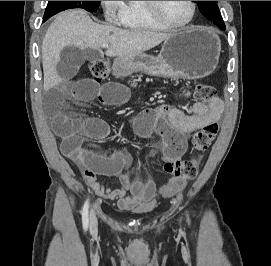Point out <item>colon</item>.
I'll list each match as a JSON object with an SVG mask.
<instances>
[{
	"label": "colon",
	"instance_id": "1",
	"mask_svg": "<svg viewBox=\"0 0 271 266\" xmlns=\"http://www.w3.org/2000/svg\"><path fill=\"white\" fill-rule=\"evenodd\" d=\"M109 61L97 59L90 63L89 70L96 82L104 80L109 74ZM194 99L200 103H208L215 97V89L207 83H199L193 91ZM219 131L218 122H210L197 130L192 138V149L195 155L205 152L215 140ZM164 170L174 179L187 181L193 179L198 171L196 156L180 160L175 159L164 164Z\"/></svg>",
	"mask_w": 271,
	"mask_h": 266
}]
</instances>
